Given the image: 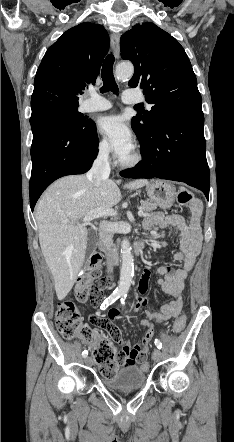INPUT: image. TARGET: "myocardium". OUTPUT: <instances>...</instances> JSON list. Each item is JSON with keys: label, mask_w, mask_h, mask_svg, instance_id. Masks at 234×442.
Returning <instances> with one entry per match:
<instances>
[{"label": "myocardium", "mask_w": 234, "mask_h": 442, "mask_svg": "<svg viewBox=\"0 0 234 442\" xmlns=\"http://www.w3.org/2000/svg\"><path fill=\"white\" fill-rule=\"evenodd\" d=\"M143 155L139 148H135L132 156L128 159H119V165L124 169H131L136 167L142 161Z\"/></svg>", "instance_id": "obj_1"}]
</instances>
